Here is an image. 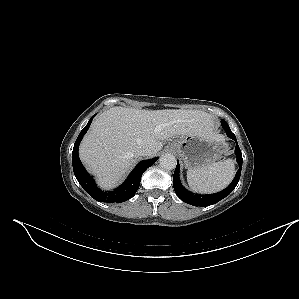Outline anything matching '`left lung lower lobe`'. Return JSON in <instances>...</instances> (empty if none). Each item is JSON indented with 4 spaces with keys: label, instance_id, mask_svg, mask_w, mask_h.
I'll return each mask as SVG.
<instances>
[{
    "label": "left lung lower lobe",
    "instance_id": "1",
    "mask_svg": "<svg viewBox=\"0 0 299 299\" xmlns=\"http://www.w3.org/2000/svg\"><path fill=\"white\" fill-rule=\"evenodd\" d=\"M222 127L226 130V133L228 137L233 139L236 142V148H235V153L237 155V162L239 164V170L236 173L235 178L233 179L232 183L224 190L215 193V194H210V195H195L192 192L186 190L180 182L179 179V164L177 163L174 175H173V187L174 190L177 194V196L184 202L191 204L193 206H208L215 204L228 196L236 187L239 179H240V174H241V169H242V153L241 150L237 144L236 136L231 132L228 124L223 120L222 121Z\"/></svg>",
    "mask_w": 299,
    "mask_h": 299
}]
</instances>
